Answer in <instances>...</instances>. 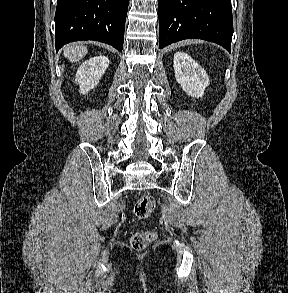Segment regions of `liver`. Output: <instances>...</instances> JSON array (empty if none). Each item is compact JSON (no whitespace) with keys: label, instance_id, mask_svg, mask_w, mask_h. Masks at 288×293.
Masks as SVG:
<instances>
[{"label":"liver","instance_id":"1","mask_svg":"<svg viewBox=\"0 0 288 293\" xmlns=\"http://www.w3.org/2000/svg\"><path fill=\"white\" fill-rule=\"evenodd\" d=\"M87 47L78 44H71L64 47V56L71 62L80 61L86 54Z\"/></svg>","mask_w":288,"mask_h":293}]
</instances>
